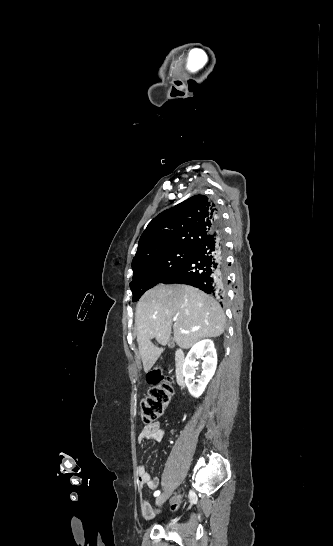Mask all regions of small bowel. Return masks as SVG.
I'll return each mask as SVG.
<instances>
[{
	"mask_svg": "<svg viewBox=\"0 0 333 546\" xmlns=\"http://www.w3.org/2000/svg\"><path fill=\"white\" fill-rule=\"evenodd\" d=\"M165 432L161 428L159 423H154L148 426H145L139 436L138 442L140 445H144L147 441L160 442L164 438ZM137 475L139 485L141 487H147L151 490H154L158 487L159 481L157 478H152L150 473L146 470L144 465H139L137 467ZM179 506V500L176 499L173 503L172 509H177ZM141 513L145 519H152L154 517V512L151 510L147 501L141 502Z\"/></svg>",
	"mask_w": 333,
	"mask_h": 546,
	"instance_id": "1",
	"label": "small bowel"
}]
</instances>
